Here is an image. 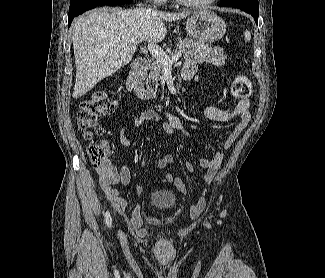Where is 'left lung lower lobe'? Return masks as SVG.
Masks as SVG:
<instances>
[{
	"instance_id": "0a47b994",
	"label": "left lung lower lobe",
	"mask_w": 325,
	"mask_h": 278,
	"mask_svg": "<svg viewBox=\"0 0 325 278\" xmlns=\"http://www.w3.org/2000/svg\"><path fill=\"white\" fill-rule=\"evenodd\" d=\"M219 6L239 8L251 14L258 24L259 5L258 0H223Z\"/></svg>"
}]
</instances>
